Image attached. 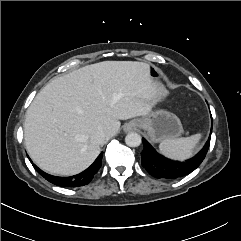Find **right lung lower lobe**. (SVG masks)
Listing matches in <instances>:
<instances>
[{"instance_id":"1","label":"right lung lower lobe","mask_w":241,"mask_h":241,"mask_svg":"<svg viewBox=\"0 0 241 241\" xmlns=\"http://www.w3.org/2000/svg\"><path fill=\"white\" fill-rule=\"evenodd\" d=\"M102 155L103 152H101L95 162L85 171L71 177L52 176L40 170L36 165L33 166L37 170V172H39V174H41L46 180L55 185L63 187H79L88 184L93 179L94 175L97 173V171L102 165Z\"/></svg>"}]
</instances>
